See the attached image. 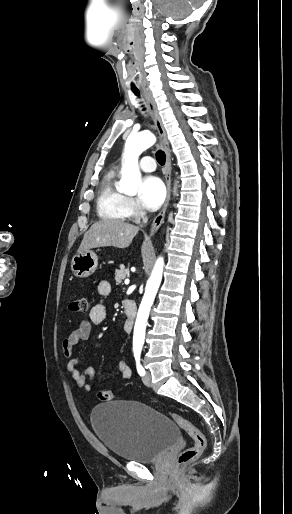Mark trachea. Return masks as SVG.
I'll list each match as a JSON object with an SVG mask.
<instances>
[{"mask_svg": "<svg viewBox=\"0 0 292 514\" xmlns=\"http://www.w3.org/2000/svg\"><path fill=\"white\" fill-rule=\"evenodd\" d=\"M133 93L137 96V98H141L139 90H133ZM140 103L142 104V102H140ZM141 106H142L143 111H146L145 106L144 105H141ZM156 160H157V162L160 165H164L165 164L166 155H165V153L161 149H159L156 152Z\"/></svg>", "mask_w": 292, "mask_h": 514, "instance_id": "1", "label": "trachea"}]
</instances>
